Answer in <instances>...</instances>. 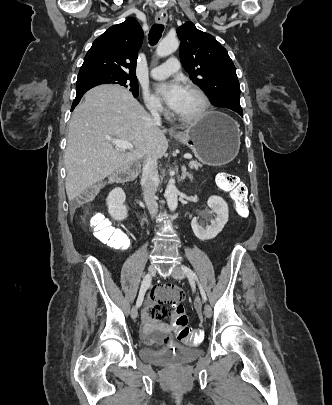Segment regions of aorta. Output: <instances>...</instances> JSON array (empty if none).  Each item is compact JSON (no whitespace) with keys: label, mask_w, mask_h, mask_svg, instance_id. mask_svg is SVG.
Returning a JSON list of instances; mask_svg holds the SVG:
<instances>
[{"label":"aorta","mask_w":332,"mask_h":405,"mask_svg":"<svg viewBox=\"0 0 332 405\" xmlns=\"http://www.w3.org/2000/svg\"><path fill=\"white\" fill-rule=\"evenodd\" d=\"M179 47V40L176 37L166 36L157 46L156 55L165 57L175 52ZM165 197L170 211H175L178 206V189L175 186V181L170 180L166 190Z\"/></svg>","instance_id":"obj_1"}]
</instances>
